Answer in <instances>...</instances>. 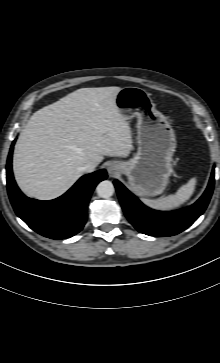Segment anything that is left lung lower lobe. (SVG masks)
Here are the masks:
<instances>
[{
  "label": "left lung lower lobe",
  "instance_id": "1",
  "mask_svg": "<svg viewBox=\"0 0 220 363\" xmlns=\"http://www.w3.org/2000/svg\"><path fill=\"white\" fill-rule=\"evenodd\" d=\"M118 197L130 223L141 233L151 236H172L187 229L203 214L214 188V169L207 189L192 206L177 212H157L143 205L119 181L115 180Z\"/></svg>",
  "mask_w": 220,
  "mask_h": 363
}]
</instances>
